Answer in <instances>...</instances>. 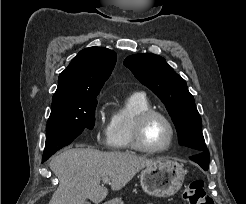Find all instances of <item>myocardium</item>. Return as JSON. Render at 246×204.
Masks as SVG:
<instances>
[{"label":"myocardium","instance_id":"f54148a6","mask_svg":"<svg viewBox=\"0 0 246 204\" xmlns=\"http://www.w3.org/2000/svg\"><path fill=\"white\" fill-rule=\"evenodd\" d=\"M153 117L161 118L167 124L170 130V137H169L168 143L164 147H161V148H151L147 146L144 141L145 127L147 123ZM175 135H176V130H175V126L173 122L171 121V119L160 111L149 109L139 114L135 119L133 129H132V144L135 149L140 150L145 153H149V154L162 153L170 149V147L172 146L175 140Z\"/></svg>","mask_w":246,"mask_h":204}]
</instances>
